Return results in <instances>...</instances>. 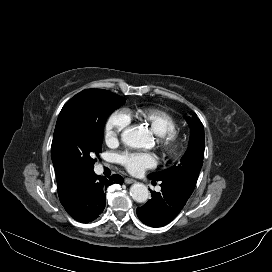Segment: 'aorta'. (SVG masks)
<instances>
[{
	"mask_svg": "<svg viewBox=\"0 0 272 272\" xmlns=\"http://www.w3.org/2000/svg\"><path fill=\"white\" fill-rule=\"evenodd\" d=\"M121 140L132 148H142L148 144L149 134L141 127H132L122 133ZM130 195L134 201L144 203L149 197V190L144 184L135 183L130 188Z\"/></svg>",
	"mask_w": 272,
	"mask_h": 272,
	"instance_id": "762f6f07",
	"label": "aorta"
}]
</instances>
